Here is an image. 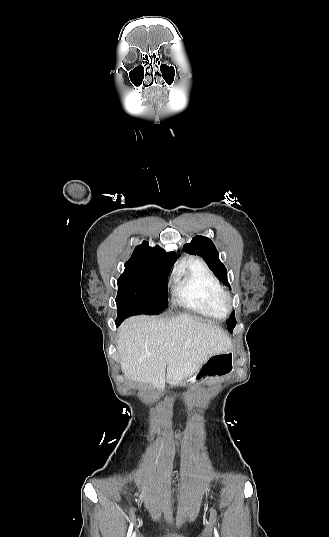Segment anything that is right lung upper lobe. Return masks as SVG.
I'll list each match as a JSON object with an SVG mask.
<instances>
[{"mask_svg":"<svg viewBox=\"0 0 329 537\" xmlns=\"http://www.w3.org/2000/svg\"><path fill=\"white\" fill-rule=\"evenodd\" d=\"M176 259L175 252L167 253L159 246L152 248L148 245V242L144 241L134 249L132 256L125 263V271L153 265L171 268Z\"/></svg>","mask_w":329,"mask_h":537,"instance_id":"right-lung-upper-lobe-1","label":"right lung upper lobe"}]
</instances>
